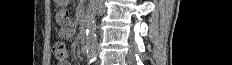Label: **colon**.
Instances as JSON below:
<instances>
[{
  "label": "colon",
  "mask_w": 232,
  "mask_h": 65,
  "mask_svg": "<svg viewBox=\"0 0 232 65\" xmlns=\"http://www.w3.org/2000/svg\"><path fill=\"white\" fill-rule=\"evenodd\" d=\"M53 53H54L55 59L59 63L66 61V59L69 56V51L66 48L65 44L60 43V42L55 44L53 48Z\"/></svg>",
  "instance_id": "1"
}]
</instances>
